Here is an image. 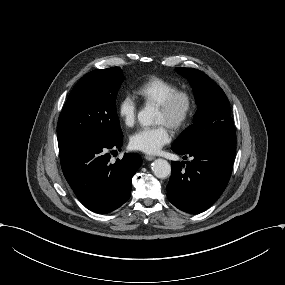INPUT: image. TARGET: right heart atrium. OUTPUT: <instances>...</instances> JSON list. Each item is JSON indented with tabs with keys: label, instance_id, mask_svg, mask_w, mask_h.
<instances>
[{
	"label": "right heart atrium",
	"instance_id": "1",
	"mask_svg": "<svg viewBox=\"0 0 285 285\" xmlns=\"http://www.w3.org/2000/svg\"><path fill=\"white\" fill-rule=\"evenodd\" d=\"M139 107L140 103L132 92H127L120 99L118 106L119 116L126 126L131 127L134 125Z\"/></svg>",
	"mask_w": 285,
	"mask_h": 285
}]
</instances>
